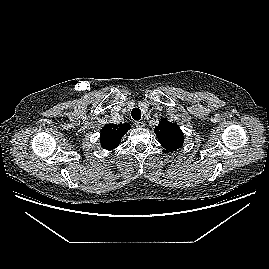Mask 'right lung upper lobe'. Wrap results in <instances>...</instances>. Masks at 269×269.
I'll list each match as a JSON object with an SVG mask.
<instances>
[{
    "label": "right lung upper lobe",
    "mask_w": 269,
    "mask_h": 269,
    "mask_svg": "<svg viewBox=\"0 0 269 269\" xmlns=\"http://www.w3.org/2000/svg\"><path fill=\"white\" fill-rule=\"evenodd\" d=\"M131 128L129 123L125 124H107L100 133V143L104 149L113 150L116 148L124 134Z\"/></svg>",
    "instance_id": "cb5924a9"
}]
</instances>
